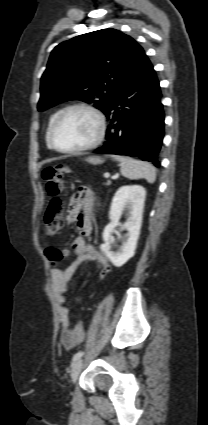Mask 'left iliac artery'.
<instances>
[{
  "label": "left iliac artery",
  "instance_id": "44dca946",
  "mask_svg": "<svg viewBox=\"0 0 208 425\" xmlns=\"http://www.w3.org/2000/svg\"><path fill=\"white\" fill-rule=\"evenodd\" d=\"M83 354H84V352H83V351H80V352L76 353V354L73 356V361H76V360H78L79 358H81V357L83 356Z\"/></svg>",
  "mask_w": 208,
  "mask_h": 425
}]
</instances>
